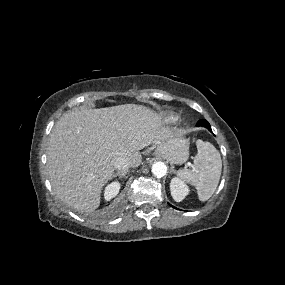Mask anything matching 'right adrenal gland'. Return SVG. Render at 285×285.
<instances>
[{
    "mask_svg": "<svg viewBox=\"0 0 285 285\" xmlns=\"http://www.w3.org/2000/svg\"><path fill=\"white\" fill-rule=\"evenodd\" d=\"M128 172H129L128 169H127V170H124V171H118L117 173H115V174L113 175V178H114V177H117V176L126 178V174H127Z\"/></svg>",
    "mask_w": 285,
    "mask_h": 285,
    "instance_id": "1",
    "label": "right adrenal gland"
}]
</instances>
